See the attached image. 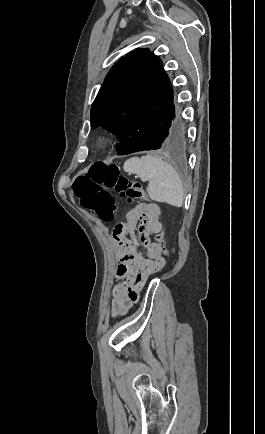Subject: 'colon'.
<instances>
[{"instance_id": "colon-1", "label": "colon", "mask_w": 265, "mask_h": 434, "mask_svg": "<svg viewBox=\"0 0 265 434\" xmlns=\"http://www.w3.org/2000/svg\"><path fill=\"white\" fill-rule=\"evenodd\" d=\"M88 172H78L74 202L96 213L105 221H112L115 218L117 206L110 191L124 198L127 203H133L145 197V191L141 184L127 179L121 174L117 165L90 164ZM154 239L162 252L159 255H166V240L163 232L155 234ZM155 247V246H154Z\"/></svg>"}]
</instances>
